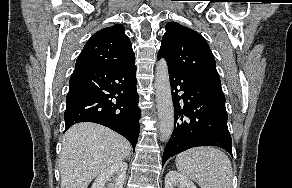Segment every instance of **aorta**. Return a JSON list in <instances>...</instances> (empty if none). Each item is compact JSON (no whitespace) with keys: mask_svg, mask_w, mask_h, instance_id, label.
Returning a JSON list of instances; mask_svg holds the SVG:
<instances>
[{"mask_svg":"<svg viewBox=\"0 0 292 188\" xmlns=\"http://www.w3.org/2000/svg\"><path fill=\"white\" fill-rule=\"evenodd\" d=\"M155 95L158 110L160 140L168 141L174 128V105L165 59H160L155 72Z\"/></svg>","mask_w":292,"mask_h":188,"instance_id":"aorta-1","label":"aorta"}]
</instances>
